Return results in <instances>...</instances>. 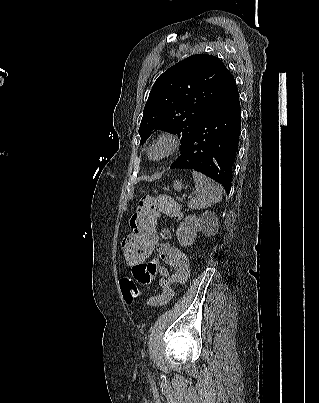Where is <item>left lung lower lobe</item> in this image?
<instances>
[{
  "instance_id": "0a47b994",
  "label": "left lung lower lobe",
  "mask_w": 319,
  "mask_h": 403,
  "mask_svg": "<svg viewBox=\"0 0 319 403\" xmlns=\"http://www.w3.org/2000/svg\"><path fill=\"white\" fill-rule=\"evenodd\" d=\"M240 128L238 89L230 74L194 130L187 148L170 168L199 171L220 183L229 193Z\"/></svg>"
}]
</instances>
